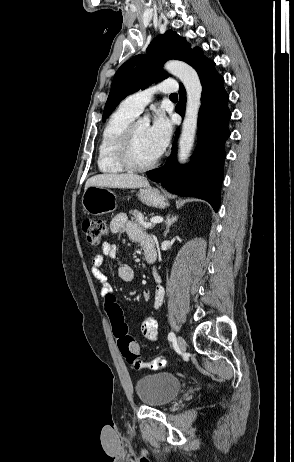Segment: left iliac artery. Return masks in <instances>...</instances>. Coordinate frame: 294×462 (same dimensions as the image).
<instances>
[{
    "label": "left iliac artery",
    "mask_w": 294,
    "mask_h": 462,
    "mask_svg": "<svg viewBox=\"0 0 294 462\" xmlns=\"http://www.w3.org/2000/svg\"><path fill=\"white\" fill-rule=\"evenodd\" d=\"M175 339V334L173 332H170L169 335H168V340L169 341H172ZM180 361V360H179Z\"/></svg>",
    "instance_id": "obj_1"
}]
</instances>
